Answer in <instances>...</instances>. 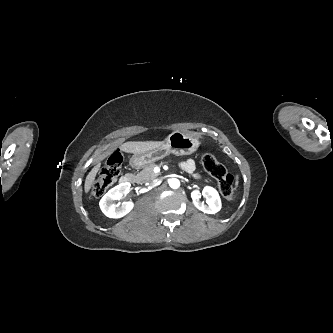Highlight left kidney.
<instances>
[{
	"instance_id": "5707ae66",
	"label": "left kidney",
	"mask_w": 333,
	"mask_h": 333,
	"mask_svg": "<svg viewBox=\"0 0 333 333\" xmlns=\"http://www.w3.org/2000/svg\"><path fill=\"white\" fill-rule=\"evenodd\" d=\"M201 195L206 198L207 204H204V202L200 201ZM191 197L195 207L204 213L215 214L221 209L222 205L220 196L218 192L210 186L204 187L202 192L199 190L192 191Z\"/></svg>"
}]
</instances>
